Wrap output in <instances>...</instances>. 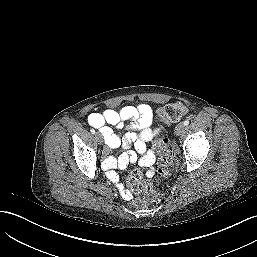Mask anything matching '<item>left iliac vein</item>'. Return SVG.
I'll use <instances>...</instances> for the list:
<instances>
[{"label":"left iliac vein","instance_id":"4c4485c4","mask_svg":"<svg viewBox=\"0 0 257 257\" xmlns=\"http://www.w3.org/2000/svg\"><path fill=\"white\" fill-rule=\"evenodd\" d=\"M185 130L184 124L180 123L175 127V134L176 135H181Z\"/></svg>","mask_w":257,"mask_h":257}]
</instances>
